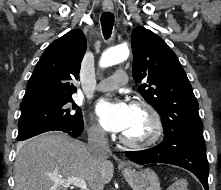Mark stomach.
<instances>
[{"instance_id": "0dacf381", "label": "stomach", "mask_w": 221, "mask_h": 190, "mask_svg": "<svg viewBox=\"0 0 221 190\" xmlns=\"http://www.w3.org/2000/svg\"><path fill=\"white\" fill-rule=\"evenodd\" d=\"M123 175L133 190H160L159 178L151 169L136 171L127 168Z\"/></svg>"}]
</instances>
